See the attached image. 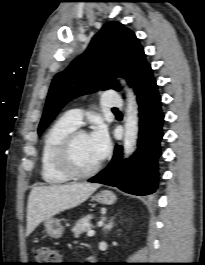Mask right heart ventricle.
<instances>
[{"instance_id": "right-heart-ventricle-1", "label": "right heart ventricle", "mask_w": 205, "mask_h": 265, "mask_svg": "<svg viewBox=\"0 0 205 265\" xmlns=\"http://www.w3.org/2000/svg\"><path fill=\"white\" fill-rule=\"evenodd\" d=\"M76 128V125L61 117L45 133L41 149L40 173L46 183L57 185L70 180V177L58 168L56 154L62 140Z\"/></svg>"}]
</instances>
